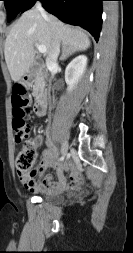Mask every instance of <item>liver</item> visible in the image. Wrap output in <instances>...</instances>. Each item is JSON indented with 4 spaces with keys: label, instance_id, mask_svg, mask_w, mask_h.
Here are the masks:
<instances>
[{
    "label": "liver",
    "instance_id": "1",
    "mask_svg": "<svg viewBox=\"0 0 133 253\" xmlns=\"http://www.w3.org/2000/svg\"><path fill=\"white\" fill-rule=\"evenodd\" d=\"M53 28L49 21L42 17L36 9H31L12 26L6 37L4 55L11 78L17 82L33 65L35 57L34 45L39 43L47 48V58L53 50L55 37L68 53L84 51L90 47L87 33L78 27L66 25L50 15Z\"/></svg>",
    "mask_w": 133,
    "mask_h": 253
}]
</instances>
